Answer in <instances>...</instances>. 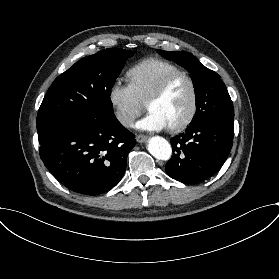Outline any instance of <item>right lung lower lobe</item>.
Masks as SVG:
<instances>
[{
  "instance_id": "1",
  "label": "right lung lower lobe",
  "mask_w": 279,
  "mask_h": 279,
  "mask_svg": "<svg viewBox=\"0 0 279 279\" xmlns=\"http://www.w3.org/2000/svg\"><path fill=\"white\" fill-rule=\"evenodd\" d=\"M40 157L65 187L100 195L121 180L134 135L115 118L46 123L38 131Z\"/></svg>"
}]
</instances>
